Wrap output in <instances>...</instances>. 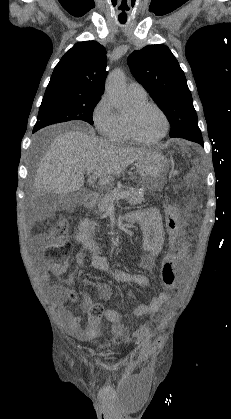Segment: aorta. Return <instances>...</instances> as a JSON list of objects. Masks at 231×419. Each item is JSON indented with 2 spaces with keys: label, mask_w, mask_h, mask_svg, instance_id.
I'll return each instance as SVG.
<instances>
[{
  "label": "aorta",
  "mask_w": 231,
  "mask_h": 419,
  "mask_svg": "<svg viewBox=\"0 0 231 419\" xmlns=\"http://www.w3.org/2000/svg\"><path fill=\"white\" fill-rule=\"evenodd\" d=\"M105 92L116 108L122 109L126 106L125 76L121 70H115L108 76Z\"/></svg>",
  "instance_id": "1"
}]
</instances>
